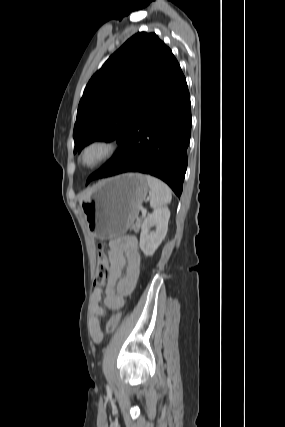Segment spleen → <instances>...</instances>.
<instances>
[{
    "label": "spleen",
    "mask_w": 285,
    "mask_h": 427,
    "mask_svg": "<svg viewBox=\"0 0 285 427\" xmlns=\"http://www.w3.org/2000/svg\"><path fill=\"white\" fill-rule=\"evenodd\" d=\"M146 180L150 188V206L154 210H158L164 206H167L172 199V193L170 188L161 180L146 175Z\"/></svg>",
    "instance_id": "1"
}]
</instances>
